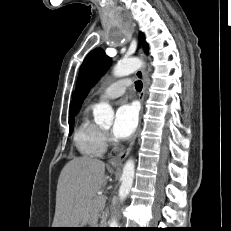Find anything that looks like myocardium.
Listing matches in <instances>:
<instances>
[{"label": "myocardium", "mask_w": 231, "mask_h": 231, "mask_svg": "<svg viewBox=\"0 0 231 231\" xmlns=\"http://www.w3.org/2000/svg\"><path fill=\"white\" fill-rule=\"evenodd\" d=\"M103 133H104V135H105V136H107V135H108L107 131H103Z\"/></svg>", "instance_id": "1"}]
</instances>
